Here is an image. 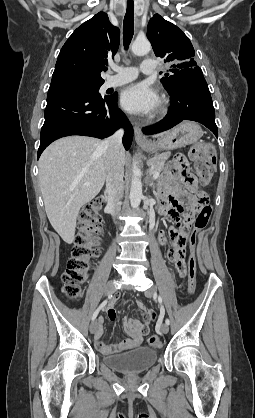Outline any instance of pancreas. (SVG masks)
Returning <instances> with one entry per match:
<instances>
[{
  "mask_svg": "<svg viewBox=\"0 0 255 418\" xmlns=\"http://www.w3.org/2000/svg\"><path fill=\"white\" fill-rule=\"evenodd\" d=\"M170 157V153L157 155L147 161L150 166L149 172L153 174L155 171L161 172L165 167L166 160Z\"/></svg>",
  "mask_w": 255,
  "mask_h": 418,
  "instance_id": "pancreas-1",
  "label": "pancreas"
}]
</instances>
